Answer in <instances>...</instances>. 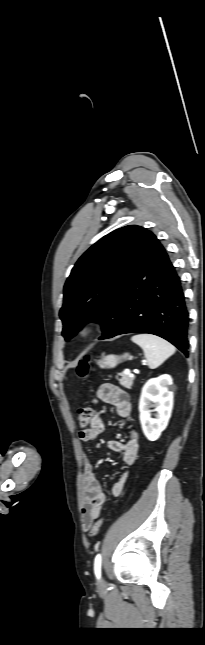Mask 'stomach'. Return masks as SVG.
I'll list each match as a JSON object with an SVG mask.
<instances>
[{"instance_id": "0dacf381", "label": "stomach", "mask_w": 205, "mask_h": 645, "mask_svg": "<svg viewBox=\"0 0 205 645\" xmlns=\"http://www.w3.org/2000/svg\"><path fill=\"white\" fill-rule=\"evenodd\" d=\"M129 358H130V356L127 353H125V354H123L121 356L110 354V355L105 356L101 360H99L97 362V364L102 369H111V368H115L123 360H127Z\"/></svg>"}]
</instances>
